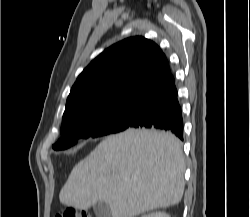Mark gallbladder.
<instances>
[{
	"mask_svg": "<svg viewBox=\"0 0 250 217\" xmlns=\"http://www.w3.org/2000/svg\"><path fill=\"white\" fill-rule=\"evenodd\" d=\"M94 212L96 214V217H111L109 205L103 202H98L94 206Z\"/></svg>",
	"mask_w": 250,
	"mask_h": 217,
	"instance_id": "obj_1",
	"label": "gallbladder"
}]
</instances>
